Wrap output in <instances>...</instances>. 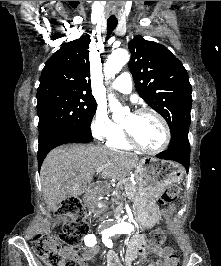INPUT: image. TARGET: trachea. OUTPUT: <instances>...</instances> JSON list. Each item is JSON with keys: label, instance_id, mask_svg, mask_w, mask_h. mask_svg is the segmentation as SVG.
<instances>
[{"label": "trachea", "instance_id": "1", "mask_svg": "<svg viewBox=\"0 0 221 266\" xmlns=\"http://www.w3.org/2000/svg\"><path fill=\"white\" fill-rule=\"evenodd\" d=\"M118 24L117 20H108L107 21V32L111 33L112 31H114V29L116 28Z\"/></svg>", "mask_w": 221, "mask_h": 266}]
</instances>
